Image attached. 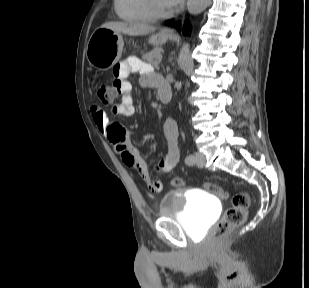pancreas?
I'll return each mask as SVG.
<instances>
[{
    "mask_svg": "<svg viewBox=\"0 0 309 288\" xmlns=\"http://www.w3.org/2000/svg\"><path fill=\"white\" fill-rule=\"evenodd\" d=\"M162 52L163 50L161 48H155L152 51L145 53L142 56V59L150 64H158Z\"/></svg>",
    "mask_w": 309,
    "mask_h": 288,
    "instance_id": "cf45deb5",
    "label": "pancreas"
}]
</instances>
